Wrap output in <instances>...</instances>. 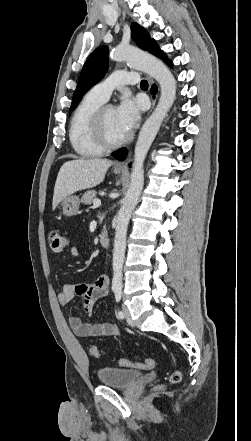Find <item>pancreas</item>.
Listing matches in <instances>:
<instances>
[{
  "label": "pancreas",
  "mask_w": 251,
  "mask_h": 441,
  "mask_svg": "<svg viewBox=\"0 0 251 441\" xmlns=\"http://www.w3.org/2000/svg\"><path fill=\"white\" fill-rule=\"evenodd\" d=\"M97 192L95 190H88L81 198V202L90 205L96 199Z\"/></svg>",
  "instance_id": "pancreas-1"
}]
</instances>
